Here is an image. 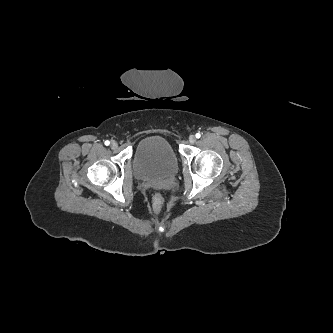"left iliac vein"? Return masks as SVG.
<instances>
[{"label":"left iliac vein","mask_w":333,"mask_h":333,"mask_svg":"<svg viewBox=\"0 0 333 333\" xmlns=\"http://www.w3.org/2000/svg\"><path fill=\"white\" fill-rule=\"evenodd\" d=\"M189 142H190L191 144H193V143L196 142V137H195V135H190V136H189Z\"/></svg>","instance_id":"1"}]
</instances>
